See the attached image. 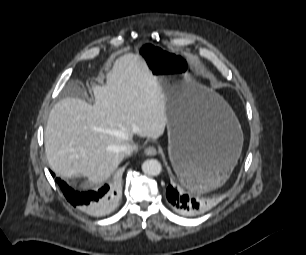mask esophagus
Returning <instances> with one entry per match:
<instances>
[{
    "instance_id": "obj_1",
    "label": "esophagus",
    "mask_w": 306,
    "mask_h": 255,
    "mask_svg": "<svg viewBox=\"0 0 306 255\" xmlns=\"http://www.w3.org/2000/svg\"><path fill=\"white\" fill-rule=\"evenodd\" d=\"M144 154L146 156H155L157 154V149L154 146H149L145 148Z\"/></svg>"
}]
</instances>
